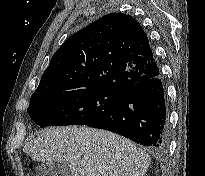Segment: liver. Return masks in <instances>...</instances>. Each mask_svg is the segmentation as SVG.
<instances>
[{"label": "liver", "instance_id": "1", "mask_svg": "<svg viewBox=\"0 0 205 176\" xmlns=\"http://www.w3.org/2000/svg\"><path fill=\"white\" fill-rule=\"evenodd\" d=\"M23 151L38 162L66 164L71 176H144L150 165L149 155L132 141L88 127L46 129Z\"/></svg>", "mask_w": 205, "mask_h": 176}]
</instances>
